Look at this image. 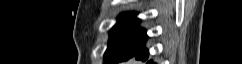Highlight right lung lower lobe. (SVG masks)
<instances>
[{
    "instance_id": "right-lung-lower-lobe-1",
    "label": "right lung lower lobe",
    "mask_w": 242,
    "mask_h": 64,
    "mask_svg": "<svg viewBox=\"0 0 242 64\" xmlns=\"http://www.w3.org/2000/svg\"><path fill=\"white\" fill-rule=\"evenodd\" d=\"M135 58L137 60L146 61L148 59V50L144 49V50L140 51L139 53H137L135 55ZM126 60H128V59H124V60H121V61H126ZM148 64H152V61H149Z\"/></svg>"
}]
</instances>
